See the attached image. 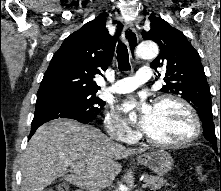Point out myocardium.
Segmentation results:
<instances>
[{
  "instance_id": "myocardium-1",
  "label": "myocardium",
  "mask_w": 221,
  "mask_h": 191,
  "mask_svg": "<svg viewBox=\"0 0 221 191\" xmlns=\"http://www.w3.org/2000/svg\"><path fill=\"white\" fill-rule=\"evenodd\" d=\"M166 101L175 102L179 104L180 106H182L188 112L192 120V125H193L192 133L187 138L181 141L165 142V141L155 140L145 132L144 137L146 141L152 146L160 147V148H169V149L185 147L191 144L192 142L196 141L201 134L202 126H201L200 117L197 111L195 110V108L188 101L174 94H162L158 96L155 99L154 106H158L159 104L166 102Z\"/></svg>"
}]
</instances>
